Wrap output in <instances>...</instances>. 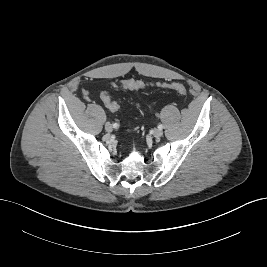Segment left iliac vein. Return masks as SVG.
I'll list each match as a JSON object with an SVG mask.
<instances>
[{
    "instance_id": "4c4485c4",
    "label": "left iliac vein",
    "mask_w": 267,
    "mask_h": 267,
    "mask_svg": "<svg viewBox=\"0 0 267 267\" xmlns=\"http://www.w3.org/2000/svg\"><path fill=\"white\" fill-rule=\"evenodd\" d=\"M162 135H163V132L161 129H159V128L154 129L153 136L155 138H160Z\"/></svg>"
}]
</instances>
